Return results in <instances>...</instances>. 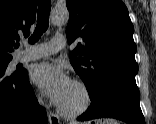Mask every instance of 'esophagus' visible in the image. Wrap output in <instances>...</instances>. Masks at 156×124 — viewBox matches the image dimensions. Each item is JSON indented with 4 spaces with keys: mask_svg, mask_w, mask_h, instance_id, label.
Instances as JSON below:
<instances>
[{
    "mask_svg": "<svg viewBox=\"0 0 156 124\" xmlns=\"http://www.w3.org/2000/svg\"><path fill=\"white\" fill-rule=\"evenodd\" d=\"M49 122H50V124H60L61 123L59 117L54 113L49 114Z\"/></svg>",
    "mask_w": 156,
    "mask_h": 124,
    "instance_id": "1",
    "label": "esophagus"
}]
</instances>
